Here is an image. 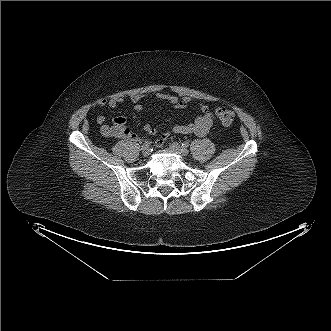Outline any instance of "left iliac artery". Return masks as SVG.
<instances>
[{
  "label": "left iliac artery",
  "instance_id": "1",
  "mask_svg": "<svg viewBox=\"0 0 331 331\" xmlns=\"http://www.w3.org/2000/svg\"><path fill=\"white\" fill-rule=\"evenodd\" d=\"M188 146H189V143L188 142H183L182 143V147L187 148Z\"/></svg>",
  "mask_w": 331,
  "mask_h": 331
}]
</instances>
